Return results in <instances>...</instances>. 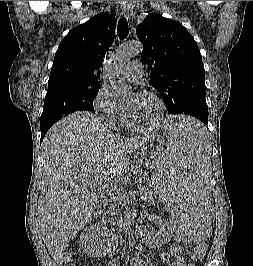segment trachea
<instances>
[{
  "label": "trachea",
  "mask_w": 253,
  "mask_h": 266,
  "mask_svg": "<svg viewBox=\"0 0 253 266\" xmlns=\"http://www.w3.org/2000/svg\"><path fill=\"white\" fill-rule=\"evenodd\" d=\"M117 33L121 40L127 38L128 33H129V28H128L127 19L125 17H122L119 20L118 26H117Z\"/></svg>",
  "instance_id": "3493384b"
}]
</instances>
